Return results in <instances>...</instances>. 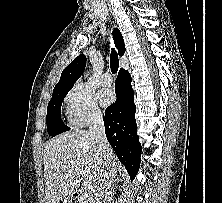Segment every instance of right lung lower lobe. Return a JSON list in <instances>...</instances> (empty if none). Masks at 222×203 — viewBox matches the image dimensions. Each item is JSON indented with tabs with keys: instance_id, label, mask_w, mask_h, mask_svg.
Wrapping results in <instances>:
<instances>
[{
	"instance_id": "98d812e1",
	"label": "right lung lower lobe",
	"mask_w": 222,
	"mask_h": 203,
	"mask_svg": "<svg viewBox=\"0 0 222 203\" xmlns=\"http://www.w3.org/2000/svg\"><path fill=\"white\" fill-rule=\"evenodd\" d=\"M128 71L120 69L115 92L116 102L105 110L106 137L133 180L140 165L141 148L135 120L136 106Z\"/></svg>"
}]
</instances>
